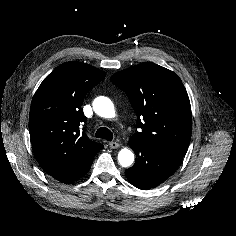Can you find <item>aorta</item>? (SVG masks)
<instances>
[{"mask_svg": "<svg viewBox=\"0 0 236 236\" xmlns=\"http://www.w3.org/2000/svg\"><path fill=\"white\" fill-rule=\"evenodd\" d=\"M95 113L103 118H114L115 109L112 101L108 98L93 103ZM118 161L122 167H129L134 162V154L128 148H123L118 153Z\"/></svg>", "mask_w": 236, "mask_h": 236, "instance_id": "obj_1", "label": "aorta"}]
</instances>
